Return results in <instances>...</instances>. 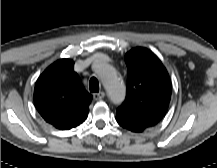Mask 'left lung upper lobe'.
Returning <instances> with one entry per match:
<instances>
[{"label":"left lung upper lobe","instance_id":"1","mask_svg":"<svg viewBox=\"0 0 217 168\" xmlns=\"http://www.w3.org/2000/svg\"><path fill=\"white\" fill-rule=\"evenodd\" d=\"M127 87L124 103L117 108L119 124L142 132L157 125L167 112L171 99L169 74L150 50L136 47L125 55Z\"/></svg>","mask_w":217,"mask_h":168}]
</instances>
